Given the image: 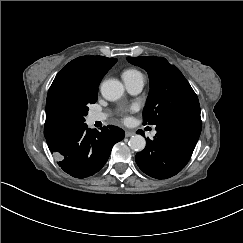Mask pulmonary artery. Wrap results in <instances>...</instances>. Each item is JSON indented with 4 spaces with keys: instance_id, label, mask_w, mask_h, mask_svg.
Here are the masks:
<instances>
[{
    "instance_id": "1",
    "label": "pulmonary artery",
    "mask_w": 243,
    "mask_h": 243,
    "mask_svg": "<svg viewBox=\"0 0 243 243\" xmlns=\"http://www.w3.org/2000/svg\"><path fill=\"white\" fill-rule=\"evenodd\" d=\"M127 89L129 92L136 94L139 93L143 87H144V80L139 81L135 84H130V85H126ZM107 119V115L105 113H94L91 115V122L95 123V122H103ZM155 134V131L152 132V135Z\"/></svg>"
}]
</instances>
